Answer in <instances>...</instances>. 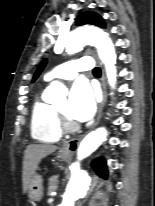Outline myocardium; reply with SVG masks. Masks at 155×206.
I'll list each match as a JSON object with an SVG mask.
<instances>
[{
    "instance_id": "f54148a6",
    "label": "myocardium",
    "mask_w": 155,
    "mask_h": 206,
    "mask_svg": "<svg viewBox=\"0 0 155 206\" xmlns=\"http://www.w3.org/2000/svg\"><path fill=\"white\" fill-rule=\"evenodd\" d=\"M56 112V116L60 125L61 130L66 132H74L78 129L77 124L72 122L64 112L59 110L57 107L54 108Z\"/></svg>"
}]
</instances>
